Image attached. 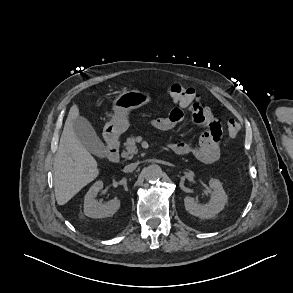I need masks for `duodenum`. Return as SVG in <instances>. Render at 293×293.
<instances>
[{
    "mask_svg": "<svg viewBox=\"0 0 293 293\" xmlns=\"http://www.w3.org/2000/svg\"><path fill=\"white\" fill-rule=\"evenodd\" d=\"M107 159L112 163L120 161L119 140L114 136H107Z\"/></svg>",
    "mask_w": 293,
    "mask_h": 293,
    "instance_id": "duodenum-1",
    "label": "duodenum"
}]
</instances>
